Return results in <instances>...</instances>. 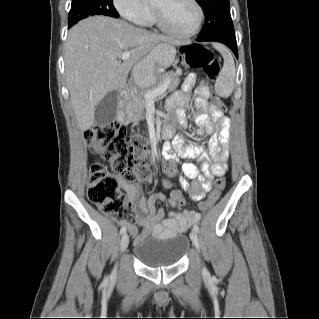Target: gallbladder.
I'll list each match as a JSON object with an SVG mask.
<instances>
[{
    "label": "gallbladder",
    "instance_id": "bac80fb5",
    "mask_svg": "<svg viewBox=\"0 0 319 319\" xmlns=\"http://www.w3.org/2000/svg\"><path fill=\"white\" fill-rule=\"evenodd\" d=\"M119 92L114 90L109 92L95 107V124L105 125L113 122L118 111Z\"/></svg>",
    "mask_w": 319,
    "mask_h": 319
}]
</instances>
